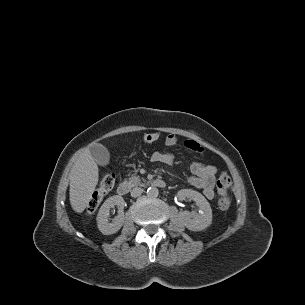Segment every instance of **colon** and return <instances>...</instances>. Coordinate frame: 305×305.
Returning a JSON list of instances; mask_svg holds the SVG:
<instances>
[{"instance_id":"1","label":"colon","mask_w":305,"mask_h":305,"mask_svg":"<svg viewBox=\"0 0 305 305\" xmlns=\"http://www.w3.org/2000/svg\"><path fill=\"white\" fill-rule=\"evenodd\" d=\"M158 138H159V133L152 132L145 134L143 137V141L146 144H151L157 141ZM185 145L190 149L193 150L197 149V145L192 141H186ZM115 182H116V176L114 173H108L102 178L99 187L92 194L87 204L86 211L88 214H92L97 210L104 197L114 187ZM231 184L232 182L230 176L225 173L221 174L217 180L216 183L217 192H218L217 204L219 208L222 210L228 209L231 205V198L229 196V190L231 188Z\"/></svg>"}]
</instances>
